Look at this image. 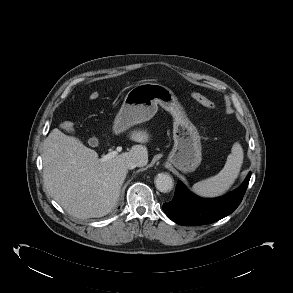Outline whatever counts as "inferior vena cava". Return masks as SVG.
<instances>
[{"instance_id":"inferior-vena-cava-1","label":"inferior vena cava","mask_w":293,"mask_h":293,"mask_svg":"<svg viewBox=\"0 0 293 293\" xmlns=\"http://www.w3.org/2000/svg\"><path fill=\"white\" fill-rule=\"evenodd\" d=\"M140 166H141V163L136 160L129 159L126 161V167L128 169H134L135 167H140Z\"/></svg>"}]
</instances>
